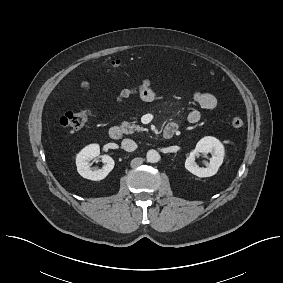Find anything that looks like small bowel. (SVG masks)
<instances>
[{
	"mask_svg": "<svg viewBox=\"0 0 283 283\" xmlns=\"http://www.w3.org/2000/svg\"><path fill=\"white\" fill-rule=\"evenodd\" d=\"M90 90L89 82L82 84V92L84 95L88 94ZM130 96H138L145 102H153L157 99L158 93L152 86L149 79L144 78L142 82L135 87L125 88L121 90L116 96V102L121 103ZM194 102L205 110H214L217 107V99L214 95L206 92H195L193 94ZM201 119V112L199 109H192L187 116V121L190 124H196ZM178 127L176 122H171Z\"/></svg>",
	"mask_w": 283,
	"mask_h": 283,
	"instance_id": "obj_1",
	"label": "small bowel"
}]
</instances>
